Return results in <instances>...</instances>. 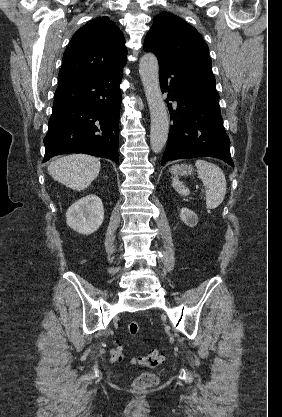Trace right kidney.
Returning a JSON list of instances; mask_svg holds the SVG:
<instances>
[{
	"label": "right kidney",
	"mask_w": 282,
	"mask_h": 417,
	"mask_svg": "<svg viewBox=\"0 0 282 417\" xmlns=\"http://www.w3.org/2000/svg\"><path fill=\"white\" fill-rule=\"evenodd\" d=\"M104 221L103 202L97 194H87L73 202L66 213V223L81 235H91Z\"/></svg>",
	"instance_id": "1"
}]
</instances>
